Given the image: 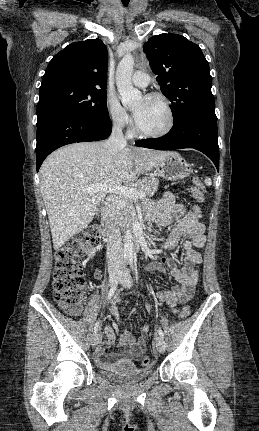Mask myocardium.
I'll return each instance as SVG.
<instances>
[{
	"label": "myocardium",
	"mask_w": 259,
	"mask_h": 431,
	"mask_svg": "<svg viewBox=\"0 0 259 431\" xmlns=\"http://www.w3.org/2000/svg\"><path fill=\"white\" fill-rule=\"evenodd\" d=\"M145 98L156 99V100H159L162 102V104L165 107L166 113H167V122H166V125L164 126V128L158 132H145V131L140 129V127L137 124L136 118H135L134 123H133L134 133L140 137L151 138V139H156V138H161V137L166 136L172 130V128L174 126V112H173V108H172L170 100L168 99L167 96H165L164 94H162L160 92H151V93L147 94Z\"/></svg>",
	"instance_id": "myocardium-1"
}]
</instances>
